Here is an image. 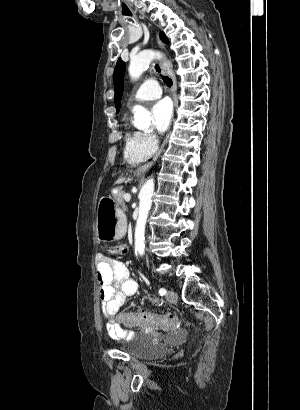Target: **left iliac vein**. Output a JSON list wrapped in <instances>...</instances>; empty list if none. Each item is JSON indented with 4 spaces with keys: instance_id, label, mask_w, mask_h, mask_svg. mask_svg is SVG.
<instances>
[{
    "instance_id": "obj_1",
    "label": "left iliac vein",
    "mask_w": 300,
    "mask_h": 410,
    "mask_svg": "<svg viewBox=\"0 0 300 410\" xmlns=\"http://www.w3.org/2000/svg\"><path fill=\"white\" fill-rule=\"evenodd\" d=\"M166 299H167L169 302H176L177 299H178V296H177V294H176L174 291L169 290V291L167 292V294H166Z\"/></svg>"
}]
</instances>
